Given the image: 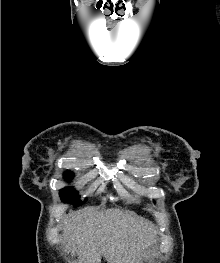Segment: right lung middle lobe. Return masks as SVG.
I'll return each instance as SVG.
<instances>
[{
	"label": "right lung middle lobe",
	"instance_id": "obj_1",
	"mask_svg": "<svg viewBox=\"0 0 220 263\" xmlns=\"http://www.w3.org/2000/svg\"><path fill=\"white\" fill-rule=\"evenodd\" d=\"M64 176L66 179H71L73 177V173L66 172ZM76 194L77 192L73 188H69V187L64 188L60 191V196L64 202H74V206H79L81 202L75 201L77 199Z\"/></svg>",
	"mask_w": 220,
	"mask_h": 263
}]
</instances>
